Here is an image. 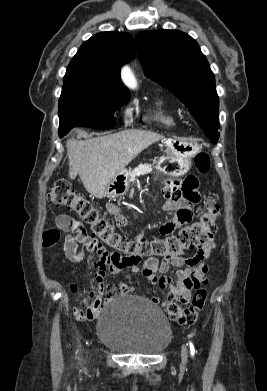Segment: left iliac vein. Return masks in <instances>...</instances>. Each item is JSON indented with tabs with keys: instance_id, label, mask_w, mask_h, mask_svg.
I'll use <instances>...</instances> for the list:
<instances>
[{
	"instance_id": "1",
	"label": "left iliac vein",
	"mask_w": 267,
	"mask_h": 391,
	"mask_svg": "<svg viewBox=\"0 0 267 391\" xmlns=\"http://www.w3.org/2000/svg\"><path fill=\"white\" fill-rule=\"evenodd\" d=\"M186 361H187V348H186V346H183L182 351H181V364H182V366H184L186 364Z\"/></svg>"
}]
</instances>
